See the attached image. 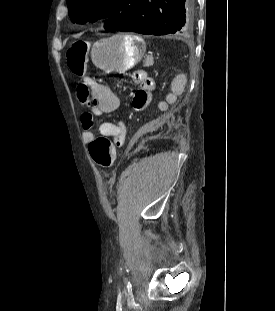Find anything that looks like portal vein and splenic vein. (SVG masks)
<instances>
[{"mask_svg": "<svg viewBox=\"0 0 275 311\" xmlns=\"http://www.w3.org/2000/svg\"><path fill=\"white\" fill-rule=\"evenodd\" d=\"M153 64V58H152V56H150V57H148L147 58V66H150V65H152Z\"/></svg>", "mask_w": 275, "mask_h": 311, "instance_id": "1", "label": "portal vein and splenic vein"}]
</instances>
